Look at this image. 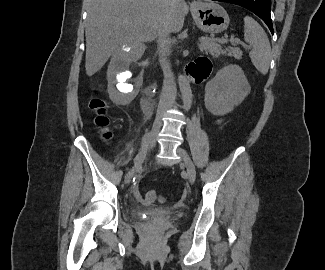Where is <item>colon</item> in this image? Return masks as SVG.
Wrapping results in <instances>:
<instances>
[{
    "instance_id": "5ec220e1",
    "label": "colon",
    "mask_w": 325,
    "mask_h": 270,
    "mask_svg": "<svg viewBox=\"0 0 325 270\" xmlns=\"http://www.w3.org/2000/svg\"><path fill=\"white\" fill-rule=\"evenodd\" d=\"M90 107L96 112L95 124L103 131V136L108 139L111 134L107 130L109 120L106 116L105 103L100 98H93L90 101ZM145 201L147 203H154L157 201H162V198L154 190H148L145 194Z\"/></svg>"
}]
</instances>
